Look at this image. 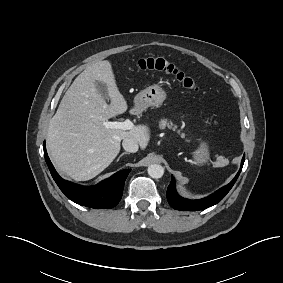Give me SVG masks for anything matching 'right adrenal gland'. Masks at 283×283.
Returning a JSON list of instances; mask_svg holds the SVG:
<instances>
[{
  "instance_id": "1",
  "label": "right adrenal gland",
  "mask_w": 283,
  "mask_h": 283,
  "mask_svg": "<svg viewBox=\"0 0 283 283\" xmlns=\"http://www.w3.org/2000/svg\"><path fill=\"white\" fill-rule=\"evenodd\" d=\"M126 154H130L129 152H123L116 160V162H118L124 155Z\"/></svg>"
}]
</instances>
